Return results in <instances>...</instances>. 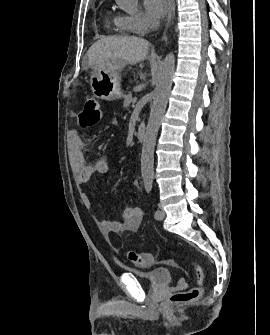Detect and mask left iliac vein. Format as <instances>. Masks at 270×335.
<instances>
[{
  "label": "left iliac vein",
  "instance_id": "obj_1",
  "mask_svg": "<svg viewBox=\"0 0 270 335\" xmlns=\"http://www.w3.org/2000/svg\"><path fill=\"white\" fill-rule=\"evenodd\" d=\"M165 216H166V213H165L164 209L162 207H160V209H159V216L156 219L162 220V219L165 218Z\"/></svg>",
  "mask_w": 270,
  "mask_h": 335
}]
</instances>
